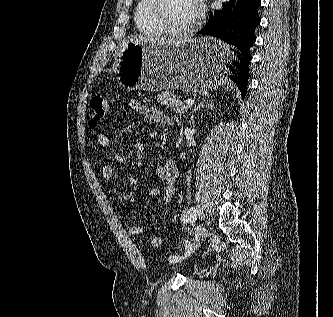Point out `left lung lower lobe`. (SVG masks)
Segmentation results:
<instances>
[{"mask_svg": "<svg viewBox=\"0 0 333 317\" xmlns=\"http://www.w3.org/2000/svg\"><path fill=\"white\" fill-rule=\"evenodd\" d=\"M261 0H231L221 10L210 13L206 25L198 34L219 38L237 50L225 57L228 77L238 86L244 99L247 92L250 48L256 41L255 29L260 24L258 8Z\"/></svg>", "mask_w": 333, "mask_h": 317, "instance_id": "1", "label": "left lung lower lobe"}]
</instances>
